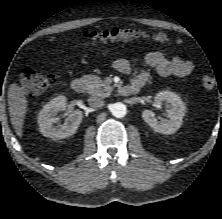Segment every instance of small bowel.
<instances>
[{"instance_id":"c3829d8e","label":"small bowel","mask_w":222,"mask_h":219,"mask_svg":"<svg viewBox=\"0 0 222 219\" xmlns=\"http://www.w3.org/2000/svg\"><path fill=\"white\" fill-rule=\"evenodd\" d=\"M144 62L147 66L154 68L161 77H184L190 75L194 70V65L191 61L182 59L165 50L149 52L145 56ZM113 67L122 74H129L131 72V64L123 58L115 59L113 61ZM147 79L148 75L146 73H140L133 78L132 82L144 84Z\"/></svg>"}]
</instances>
